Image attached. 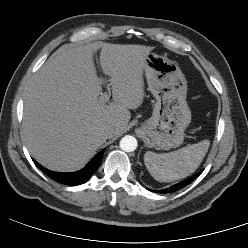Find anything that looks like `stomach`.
<instances>
[{"mask_svg": "<svg viewBox=\"0 0 248 248\" xmlns=\"http://www.w3.org/2000/svg\"><path fill=\"white\" fill-rule=\"evenodd\" d=\"M144 70L156 104L152 117L142 124V130L150 138V147L162 150L179 147L191 122L186 78L178 64L154 53L145 58Z\"/></svg>", "mask_w": 248, "mask_h": 248, "instance_id": "stomach-1", "label": "stomach"}]
</instances>
